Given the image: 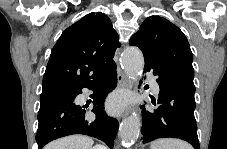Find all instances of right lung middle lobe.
<instances>
[{
	"mask_svg": "<svg viewBox=\"0 0 227 149\" xmlns=\"http://www.w3.org/2000/svg\"><path fill=\"white\" fill-rule=\"evenodd\" d=\"M73 88L74 87L70 86H53L42 89V93L40 95V110L57 100L71 99Z\"/></svg>",
	"mask_w": 227,
	"mask_h": 149,
	"instance_id": "dd1d6c3e",
	"label": "right lung middle lobe"
}]
</instances>
